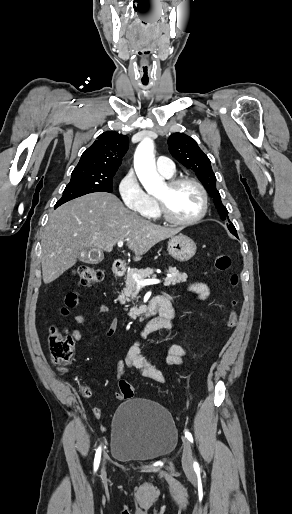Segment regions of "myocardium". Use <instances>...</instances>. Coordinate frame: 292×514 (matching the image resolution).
I'll return each mask as SVG.
<instances>
[{
    "label": "myocardium",
    "instance_id": "obj_1",
    "mask_svg": "<svg viewBox=\"0 0 292 514\" xmlns=\"http://www.w3.org/2000/svg\"><path fill=\"white\" fill-rule=\"evenodd\" d=\"M185 184H189V185H192L193 187H195L200 195V209L194 217H192L188 220H179V219L174 218L169 213L164 201L159 198L154 197L155 204H156L157 209H158L160 215L162 216V218L166 222H169L171 224L178 225V226H189V225L197 223L199 220H201L204 217L206 210H207V193H206V190L204 189V187L198 181H196L192 178H188V177H178V178L170 180L166 183V185L169 189H174V188H177V187H179L181 185H185Z\"/></svg>",
    "mask_w": 292,
    "mask_h": 514
}]
</instances>
